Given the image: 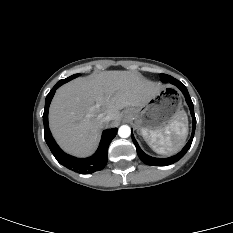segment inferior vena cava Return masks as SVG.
<instances>
[{"mask_svg": "<svg viewBox=\"0 0 233 233\" xmlns=\"http://www.w3.org/2000/svg\"><path fill=\"white\" fill-rule=\"evenodd\" d=\"M97 119L101 124H106L110 120V118L108 116H105L103 114L98 115Z\"/></svg>", "mask_w": 233, "mask_h": 233, "instance_id": "obj_1", "label": "inferior vena cava"}]
</instances>
